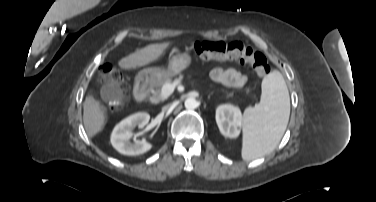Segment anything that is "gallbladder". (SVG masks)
Returning <instances> with one entry per match:
<instances>
[{
  "label": "gallbladder",
  "mask_w": 376,
  "mask_h": 202,
  "mask_svg": "<svg viewBox=\"0 0 376 202\" xmlns=\"http://www.w3.org/2000/svg\"><path fill=\"white\" fill-rule=\"evenodd\" d=\"M100 95L103 101H118L122 98V89L114 82H109L101 87Z\"/></svg>",
  "instance_id": "gallbladder-1"
}]
</instances>
